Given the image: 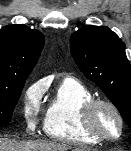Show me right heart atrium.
I'll list each match as a JSON object with an SVG mask.
<instances>
[{"label":"right heart atrium","mask_w":131,"mask_h":151,"mask_svg":"<svg viewBox=\"0 0 131 151\" xmlns=\"http://www.w3.org/2000/svg\"><path fill=\"white\" fill-rule=\"evenodd\" d=\"M44 86L41 82L31 84L24 93L23 113L30 128H34L40 111Z\"/></svg>","instance_id":"obj_1"}]
</instances>
